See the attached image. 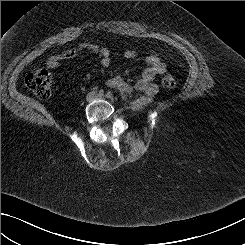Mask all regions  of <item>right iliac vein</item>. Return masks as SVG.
<instances>
[{"label":"right iliac vein","mask_w":245,"mask_h":245,"mask_svg":"<svg viewBox=\"0 0 245 245\" xmlns=\"http://www.w3.org/2000/svg\"><path fill=\"white\" fill-rule=\"evenodd\" d=\"M95 98V94L93 92L89 93L87 95V101L91 102Z\"/></svg>","instance_id":"right-iliac-vein-1"}]
</instances>
